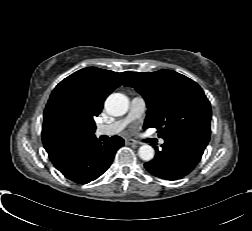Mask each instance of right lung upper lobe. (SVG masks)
I'll return each instance as SVG.
<instances>
[{
    "label": "right lung upper lobe",
    "mask_w": 252,
    "mask_h": 231,
    "mask_svg": "<svg viewBox=\"0 0 252 231\" xmlns=\"http://www.w3.org/2000/svg\"><path fill=\"white\" fill-rule=\"evenodd\" d=\"M129 75L130 72L117 73L88 67L66 77L52 91L44 111L42 140L57 169L64 165L76 141L94 136L96 126L93 118L102 111L106 97ZM62 106L72 111L82 123L81 130L74 135H63L56 129V112Z\"/></svg>",
    "instance_id": "cb5924a9"
}]
</instances>
